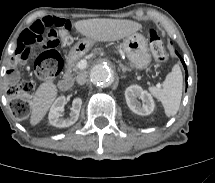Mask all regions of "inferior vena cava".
<instances>
[{"label": "inferior vena cava", "mask_w": 215, "mask_h": 183, "mask_svg": "<svg viewBox=\"0 0 215 183\" xmlns=\"http://www.w3.org/2000/svg\"><path fill=\"white\" fill-rule=\"evenodd\" d=\"M76 81L79 85H83L87 81V73L86 72H81L77 75Z\"/></svg>", "instance_id": "inferior-vena-cava-1"}]
</instances>
